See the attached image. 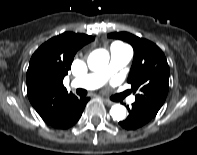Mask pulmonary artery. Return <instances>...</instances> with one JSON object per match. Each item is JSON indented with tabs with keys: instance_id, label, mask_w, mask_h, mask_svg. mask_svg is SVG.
I'll use <instances>...</instances> for the list:
<instances>
[{
	"instance_id": "obj_1",
	"label": "pulmonary artery",
	"mask_w": 197,
	"mask_h": 155,
	"mask_svg": "<svg viewBox=\"0 0 197 155\" xmlns=\"http://www.w3.org/2000/svg\"><path fill=\"white\" fill-rule=\"evenodd\" d=\"M131 58L132 51L130 47L121 43H114L110 47V62L108 66L102 71L75 78L71 82V86L88 90L97 89L102 86L114 72L127 65ZM134 101L135 97L129 98L130 103Z\"/></svg>"
}]
</instances>
